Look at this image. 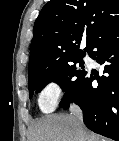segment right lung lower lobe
Wrapping results in <instances>:
<instances>
[{
	"instance_id": "right-lung-lower-lobe-1",
	"label": "right lung lower lobe",
	"mask_w": 119,
	"mask_h": 141,
	"mask_svg": "<svg viewBox=\"0 0 119 141\" xmlns=\"http://www.w3.org/2000/svg\"><path fill=\"white\" fill-rule=\"evenodd\" d=\"M88 54L99 64H105V76L88 75L78 83L69 101L83 110L85 125L95 133L119 141V19L107 24L95 39ZM98 86L93 87L92 81Z\"/></svg>"
}]
</instances>
